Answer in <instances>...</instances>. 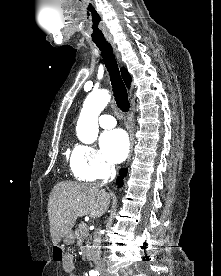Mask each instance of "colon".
<instances>
[{"label":"colon","mask_w":221,"mask_h":276,"mask_svg":"<svg viewBox=\"0 0 221 276\" xmlns=\"http://www.w3.org/2000/svg\"><path fill=\"white\" fill-rule=\"evenodd\" d=\"M64 251H66V246H62V245L53 246L54 261L63 262V260L65 259Z\"/></svg>","instance_id":"colon-1"}]
</instances>
